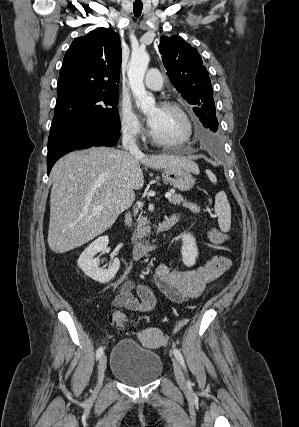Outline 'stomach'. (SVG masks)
Segmentation results:
<instances>
[{
	"instance_id": "0dacf381",
	"label": "stomach",
	"mask_w": 299,
	"mask_h": 427,
	"mask_svg": "<svg viewBox=\"0 0 299 427\" xmlns=\"http://www.w3.org/2000/svg\"><path fill=\"white\" fill-rule=\"evenodd\" d=\"M191 173L185 168H166L162 172V178L180 191H189L195 181Z\"/></svg>"
}]
</instances>
